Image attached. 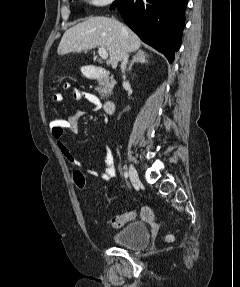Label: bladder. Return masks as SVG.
Here are the masks:
<instances>
[{"label":"bladder","instance_id":"31cf9c89","mask_svg":"<svg viewBox=\"0 0 240 287\" xmlns=\"http://www.w3.org/2000/svg\"><path fill=\"white\" fill-rule=\"evenodd\" d=\"M149 240L148 228L142 222L129 223L112 236L114 244L133 250L145 247L149 243Z\"/></svg>","mask_w":240,"mask_h":287}]
</instances>
